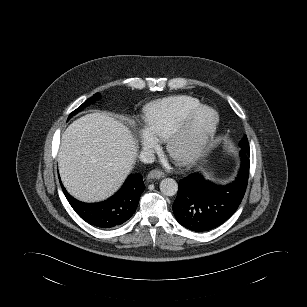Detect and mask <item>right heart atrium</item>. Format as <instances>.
<instances>
[{"label":"right heart atrium","mask_w":307,"mask_h":307,"mask_svg":"<svg viewBox=\"0 0 307 307\" xmlns=\"http://www.w3.org/2000/svg\"><path fill=\"white\" fill-rule=\"evenodd\" d=\"M140 135L143 151L148 154L152 153L158 147L157 141L146 130H142Z\"/></svg>","instance_id":"right-heart-atrium-1"}]
</instances>
